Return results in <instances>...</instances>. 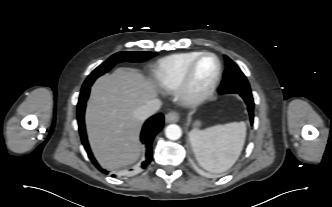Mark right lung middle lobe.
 Masks as SVG:
<instances>
[{
  "label": "right lung middle lobe",
  "instance_id": "1",
  "mask_svg": "<svg viewBox=\"0 0 332 207\" xmlns=\"http://www.w3.org/2000/svg\"><path fill=\"white\" fill-rule=\"evenodd\" d=\"M156 53L154 52H118L112 55L108 60H106L103 64L98 66L95 70L91 72V74L85 80L82 88L90 87L96 78L108 72L116 63L122 61L128 62H143L152 57H154Z\"/></svg>",
  "mask_w": 332,
  "mask_h": 207
}]
</instances>
